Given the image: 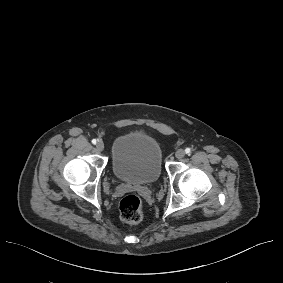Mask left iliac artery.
Returning <instances> with one entry per match:
<instances>
[{
  "label": "left iliac artery",
  "instance_id": "left-iliac-artery-1",
  "mask_svg": "<svg viewBox=\"0 0 283 283\" xmlns=\"http://www.w3.org/2000/svg\"><path fill=\"white\" fill-rule=\"evenodd\" d=\"M185 153L189 155L191 153V149L190 148H186L185 149Z\"/></svg>",
  "mask_w": 283,
  "mask_h": 283
}]
</instances>
